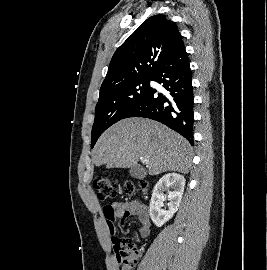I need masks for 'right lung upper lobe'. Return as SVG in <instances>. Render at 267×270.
<instances>
[{
    "mask_svg": "<svg viewBox=\"0 0 267 270\" xmlns=\"http://www.w3.org/2000/svg\"><path fill=\"white\" fill-rule=\"evenodd\" d=\"M182 44L174 22L161 14L148 18L114 53L100 91L126 81L151 77Z\"/></svg>",
    "mask_w": 267,
    "mask_h": 270,
    "instance_id": "right-lung-upper-lobe-1",
    "label": "right lung upper lobe"
}]
</instances>
